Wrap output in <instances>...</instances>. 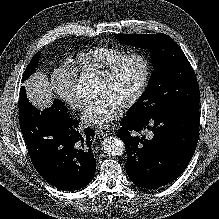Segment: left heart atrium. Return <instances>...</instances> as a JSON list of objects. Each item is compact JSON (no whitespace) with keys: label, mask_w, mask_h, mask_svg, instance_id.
Here are the masks:
<instances>
[{"label":"left heart atrium","mask_w":219,"mask_h":219,"mask_svg":"<svg viewBox=\"0 0 219 219\" xmlns=\"http://www.w3.org/2000/svg\"><path fill=\"white\" fill-rule=\"evenodd\" d=\"M121 107L109 96H101L85 109L82 119L87 124L106 125L119 116Z\"/></svg>","instance_id":"1"}]
</instances>
